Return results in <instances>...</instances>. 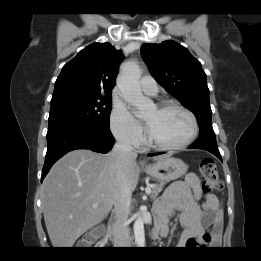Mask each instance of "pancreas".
<instances>
[{
  "label": "pancreas",
  "instance_id": "cf45deb5",
  "mask_svg": "<svg viewBox=\"0 0 261 261\" xmlns=\"http://www.w3.org/2000/svg\"><path fill=\"white\" fill-rule=\"evenodd\" d=\"M163 187H164V182H161L159 184H154L152 186H150L151 188V197L153 199H155L158 194L163 190Z\"/></svg>",
  "mask_w": 261,
  "mask_h": 261
}]
</instances>
